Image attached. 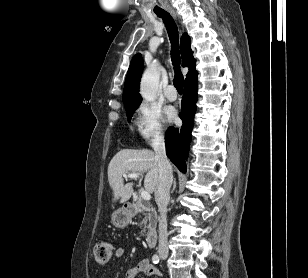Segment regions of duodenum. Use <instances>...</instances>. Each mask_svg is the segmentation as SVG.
<instances>
[{"mask_svg":"<svg viewBox=\"0 0 308 278\" xmlns=\"http://www.w3.org/2000/svg\"><path fill=\"white\" fill-rule=\"evenodd\" d=\"M136 210H137V207L133 203H128L125 205V211L129 215H132L133 213H135ZM157 240H158L157 231L152 230L147 234L146 241L150 247L154 246L157 243Z\"/></svg>","mask_w":308,"mask_h":278,"instance_id":"410a0bca","label":"duodenum"}]
</instances>
